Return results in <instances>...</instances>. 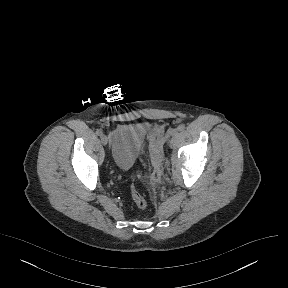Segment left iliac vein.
<instances>
[{"instance_id": "left-iliac-vein-1", "label": "left iliac vein", "mask_w": 288, "mask_h": 288, "mask_svg": "<svg viewBox=\"0 0 288 288\" xmlns=\"http://www.w3.org/2000/svg\"><path fill=\"white\" fill-rule=\"evenodd\" d=\"M177 133V130L176 129H172V130H170L169 132H168V135L169 136H173V135H175Z\"/></svg>"}]
</instances>
